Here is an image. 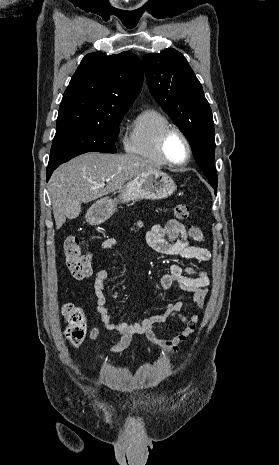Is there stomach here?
Wrapping results in <instances>:
<instances>
[{
    "label": "stomach",
    "mask_w": 279,
    "mask_h": 465,
    "mask_svg": "<svg viewBox=\"0 0 279 465\" xmlns=\"http://www.w3.org/2000/svg\"><path fill=\"white\" fill-rule=\"evenodd\" d=\"M176 189L174 180L166 173L160 171L141 173L120 189L118 198L105 197L95 202L89 208L86 220L93 225L101 224L117 210L118 202L164 199L171 196Z\"/></svg>",
    "instance_id": "0dacf381"
}]
</instances>
